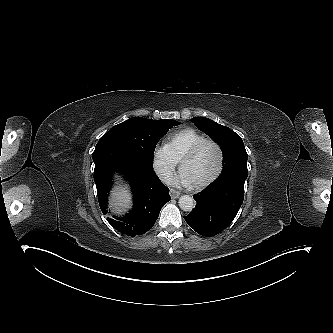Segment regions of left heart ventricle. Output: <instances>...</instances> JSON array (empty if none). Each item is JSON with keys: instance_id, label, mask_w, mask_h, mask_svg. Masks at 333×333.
Wrapping results in <instances>:
<instances>
[{"instance_id": "b2bd125f", "label": "left heart ventricle", "mask_w": 333, "mask_h": 333, "mask_svg": "<svg viewBox=\"0 0 333 333\" xmlns=\"http://www.w3.org/2000/svg\"><path fill=\"white\" fill-rule=\"evenodd\" d=\"M218 162L217 150L213 145L207 144L198 154L184 165L193 184L206 180L216 169Z\"/></svg>"}]
</instances>
